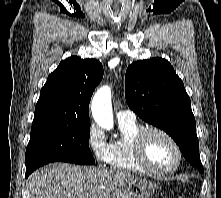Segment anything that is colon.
I'll return each mask as SVG.
<instances>
[{
    "mask_svg": "<svg viewBox=\"0 0 221 198\" xmlns=\"http://www.w3.org/2000/svg\"><path fill=\"white\" fill-rule=\"evenodd\" d=\"M177 198H186L184 194H179Z\"/></svg>",
    "mask_w": 221,
    "mask_h": 198,
    "instance_id": "obj_1",
    "label": "colon"
}]
</instances>
